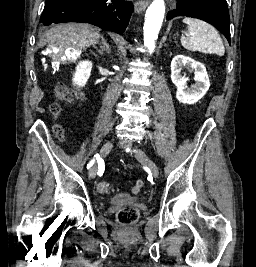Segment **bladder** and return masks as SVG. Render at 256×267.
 Returning a JSON list of instances; mask_svg holds the SVG:
<instances>
[{"mask_svg":"<svg viewBox=\"0 0 256 267\" xmlns=\"http://www.w3.org/2000/svg\"><path fill=\"white\" fill-rule=\"evenodd\" d=\"M138 200H140V198L134 197L132 195H116L110 198L109 202L112 204L121 205V204L135 203Z\"/></svg>","mask_w":256,"mask_h":267,"instance_id":"obj_1","label":"bladder"}]
</instances>
